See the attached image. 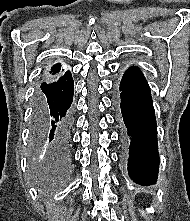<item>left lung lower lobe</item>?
<instances>
[{"label":"left lung lower lobe","mask_w":190,"mask_h":221,"mask_svg":"<svg viewBox=\"0 0 190 221\" xmlns=\"http://www.w3.org/2000/svg\"><path fill=\"white\" fill-rule=\"evenodd\" d=\"M120 107L130 137L128 172L142 186L155 184L159 155L156 118L149 85L142 72L129 68L119 86Z\"/></svg>","instance_id":"left-lung-lower-lobe-1"}]
</instances>
